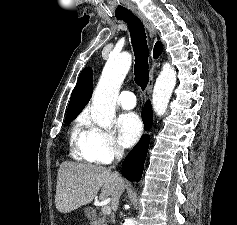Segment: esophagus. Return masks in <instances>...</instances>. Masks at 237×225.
I'll list each match as a JSON object with an SVG mask.
<instances>
[{
  "mask_svg": "<svg viewBox=\"0 0 237 225\" xmlns=\"http://www.w3.org/2000/svg\"><path fill=\"white\" fill-rule=\"evenodd\" d=\"M133 13L142 21L144 26L147 28V30L149 32L150 39H151V43L153 45L158 39V33H157V30H156L155 26L153 25L152 21L150 19H148L145 16V14L138 9H134ZM155 65H156L155 60H152V64H151V68H150V81H149V84L147 87L148 93L151 92L152 87H153V74H154ZM144 101H146V99ZM146 133L149 134L150 132L147 131Z\"/></svg>",
  "mask_w": 237,
  "mask_h": 225,
  "instance_id": "1",
  "label": "esophagus"
}]
</instances>
